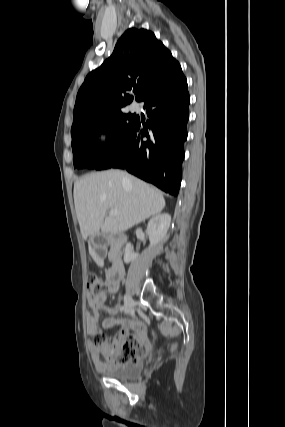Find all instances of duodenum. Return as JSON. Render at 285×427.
Masks as SVG:
<instances>
[{
    "instance_id": "1",
    "label": "duodenum",
    "mask_w": 285,
    "mask_h": 427,
    "mask_svg": "<svg viewBox=\"0 0 285 427\" xmlns=\"http://www.w3.org/2000/svg\"><path fill=\"white\" fill-rule=\"evenodd\" d=\"M125 238L119 237L118 238V249L112 252V265L110 269L107 272V277L109 280H120L124 275V267L121 263V254H120V247L124 244Z\"/></svg>"
}]
</instances>
